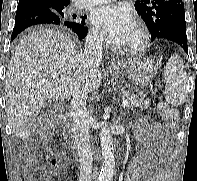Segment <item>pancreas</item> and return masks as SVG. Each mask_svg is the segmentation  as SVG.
Instances as JSON below:
<instances>
[{"label":"pancreas","mask_w":197,"mask_h":181,"mask_svg":"<svg viewBox=\"0 0 197 181\" xmlns=\"http://www.w3.org/2000/svg\"><path fill=\"white\" fill-rule=\"evenodd\" d=\"M124 101H129L131 107H139L141 109H147L150 105L149 99L139 98L137 95L125 92L122 96Z\"/></svg>","instance_id":"cf45deb5"}]
</instances>
